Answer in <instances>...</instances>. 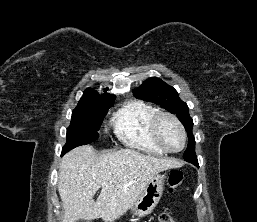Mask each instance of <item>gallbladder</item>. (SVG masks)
I'll use <instances>...</instances> for the list:
<instances>
[{
  "label": "gallbladder",
  "instance_id": "gallbladder-1",
  "mask_svg": "<svg viewBox=\"0 0 257 222\" xmlns=\"http://www.w3.org/2000/svg\"><path fill=\"white\" fill-rule=\"evenodd\" d=\"M75 222H89V221H85V220L79 219V220H76Z\"/></svg>",
  "mask_w": 257,
  "mask_h": 222
}]
</instances>
